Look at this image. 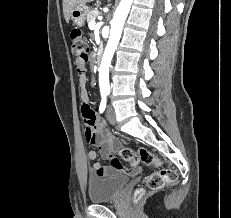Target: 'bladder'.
<instances>
[{"instance_id": "31cf9c89", "label": "bladder", "mask_w": 231, "mask_h": 218, "mask_svg": "<svg viewBox=\"0 0 231 218\" xmlns=\"http://www.w3.org/2000/svg\"><path fill=\"white\" fill-rule=\"evenodd\" d=\"M128 183L124 176H99L90 174L88 177V199L92 203H102L116 199Z\"/></svg>"}]
</instances>
